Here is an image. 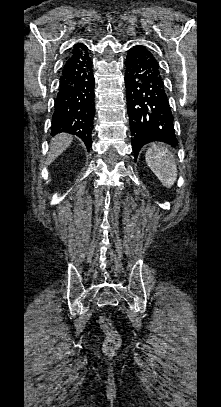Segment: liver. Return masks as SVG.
<instances>
[{"mask_svg":"<svg viewBox=\"0 0 221 407\" xmlns=\"http://www.w3.org/2000/svg\"><path fill=\"white\" fill-rule=\"evenodd\" d=\"M72 140V135L67 133H61L52 138L46 164L48 165L52 163L57 157H59L69 147Z\"/></svg>","mask_w":221,"mask_h":407,"instance_id":"liver-1","label":"liver"}]
</instances>
